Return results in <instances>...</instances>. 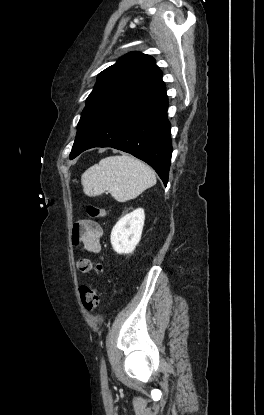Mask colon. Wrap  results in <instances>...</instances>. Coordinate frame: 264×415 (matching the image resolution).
I'll return each mask as SVG.
<instances>
[{
    "instance_id": "obj_1",
    "label": "colon",
    "mask_w": 264,
    "mask_h": 415,
    "mask_svg": "<svg viewBox=\"0 0 264 415\" xmlns=\"http://www.w3.org/2000/svg\"><path fill=\"white\" fill-rule=\"evenodd\" d=\"M87 215L90 218H99L103 217L105 212L99 206L92 204L87 208ZM92 264V261L87 258H81L78 260V266L82 270L90 268ZM80 300L88 312H94L99 304L98 290L95 287L82 286L80 288Z\"/></svg>"
}]
</instances>
